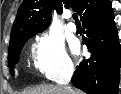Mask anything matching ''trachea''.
<instances>
[{"mask_svg":"<svg viewBox=\"0 0 121 94\" xmlns=\"http://www.w3.org/2000/svg\"><path fill=\"white\" fill-rule=\"evenodd\" d=\"M73 19L76 21V22H79L78 20V15L76 13L73 14Z\"/></svg>","mask_w":121,"mask_h":94,"instance_id":"obj_1","label":"trachea"}]
</instances>
